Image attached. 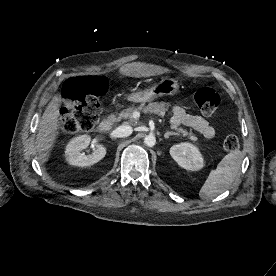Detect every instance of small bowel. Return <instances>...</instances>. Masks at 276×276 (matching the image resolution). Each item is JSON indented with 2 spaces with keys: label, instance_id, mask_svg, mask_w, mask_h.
Listing matches in <instances>:
<instances>
[{
  "label": "small bowel",
  "instance_id": "obj_1",
  "mask_svg": "<svg viewBox=\"0 0 276 276\" xmlns=\"http://www.w3.org/2000/svg\"><path fill=\"white\" fill-rule=\"evenodd\" d=\"M171 113L170 123L172 125L191 127L207 139H212L215 136L214 127L202 116L189 114L181 106H173Z\"/></svg>",
  "mask_w": 276,
  "mask_h": 276
}]
</instances>
